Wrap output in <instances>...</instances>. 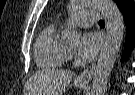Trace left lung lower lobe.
<instances>
[{
  "mask_svg": "<svg viewBox=\"0 0 135 95\" xmlns=\"http://www.w3.org/2000/svg\"><path fill=\"white\" fill-rule=\"evenodd\" d=\"M135 4H131L129 7L121 10L126 24V44L122 55V59H127L130 51L134 48L135 43Z\"/></svg>",
  "mask_w": 135,
  "mask_h": 95,
  "instance_id": "obj_1",
  "label": "left lung lower lobe"
}]
</instances>
